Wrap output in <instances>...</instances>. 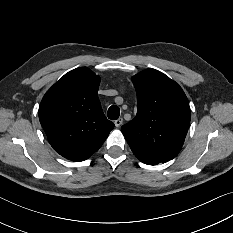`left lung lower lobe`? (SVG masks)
Listing matches in <instances>:
<instances>
[{
  "label": "left lung lower lobe",
  "instance_id": "1",
  "mask_svg": "<svg viewBox=\"0 0 233 233\" xmlns=\"http://www.w3.org/2000/svg\"><path fill=\"white\" fill-rule=\"evenodd\" d=\"M131 150L133 151V153L135 154V156L143 163L145 164H149V165H156L160 162L165 163L167 161H165L162 158L147 154L139 149L136 148H131Z\"/></svg>",
  "mask_w": 233,
  "mask_h": 233
}]
</instances>
